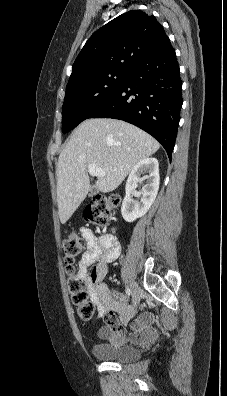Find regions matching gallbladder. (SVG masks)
Returning a JSON list of instances; mask_svg holds the SVG:
<instances>
[{"mask_svg":"<svg viewBox=\"0 0 227 396\" xmlns=\"http://www.w3.org/2000/svg\"><path fill=\"white\" fill-rule=\"evenodd\" d=\"M97 192V188L95 186H92L90 189V194H95Z\"/></svg>","mask_w":227,"mask_h":396,"instance_id":"1","label":"gallbladder"}]
</instances>
